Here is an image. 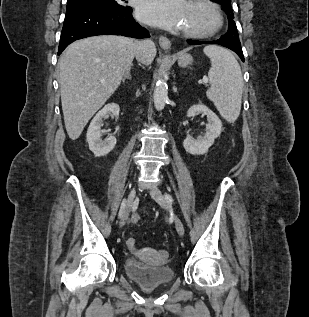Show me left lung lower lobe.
I'll return each mask as SVG.
<instances>
[{"label": "left lung lower lobe", "instance_id": "obj_1", "mask_svg": "<svg viewBox=\"0 0 309 317\" xmlns=\"http://www.w3.org/2000/svg\"><path fill=\"white\" fill-rule=\"evenodd\" d=\"M187 43L190 45H199V44H208V43L222 45L236 52L238 56L241 58V60L244 61L241 43L233 39L227 38L225 36L221 37L220 39L216 41L201 42V41H195V40H187Z\"/></svg>", "mask_w": 309, "mask_h": 317}]
</instances>
